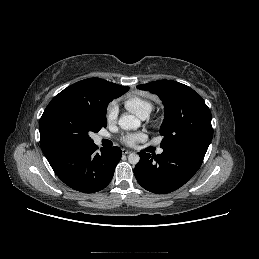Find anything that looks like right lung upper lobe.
I'll use <instances>...</instances> for the list:
<instances>
[{
  "instance_id": "1",
  "label": "right lung upper lobe",
  "mask_w": 259,
  "mask_h": 259,
  "mask_svg": "<svg viewBox=\"0 0 259 259\" xmlns=\"http://www.w3.org/2000/svg\"><path fill=\"white\" fill-rule=\"evenodd\" d=\"M128 90L129 87L120 86L118 84H114L100 78H89L67 87L57 96H55L53 98V101L60 97L69 98L78 102L79 104L94 109L100 114H103L107 111V106L110 101H112L114 98L121 96ZM43 118L44 113L40 119L41 123L43 121ZM43 153L47 157L51 152L43 151Z\"/></svg>"
}]
</instances>
